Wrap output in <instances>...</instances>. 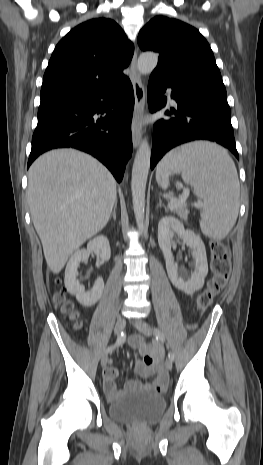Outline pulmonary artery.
Segmentation results:
<instances>
[{
  "label": "pulmonary artery",
  "mask_w": 263,
  "mask_h": 465,
  "mask_svg": "<svg viewBox=\"0 0 263 465\" xmlns=\"http://www.w3.org/2000/svg\"><path fill=\"white\" fill-rule=\"evenodd\" d=\"M169 96H170V93H169ZM171 101H172V103H174V104H175V100H174V99H172V98H171Z\"/></svg>",
  "instance_id": "1"
}]
</instances>
